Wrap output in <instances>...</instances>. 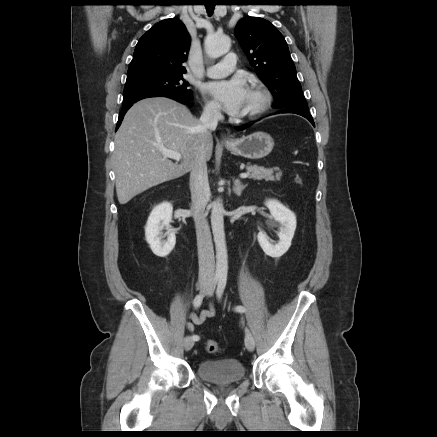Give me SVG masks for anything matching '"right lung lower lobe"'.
<instances>
[{"label":"right lung lower lobe","mask_w":437,"mask_h":437,"mask_svg":"<svg viewBox=\"0 0 437 437\" xmlns=\"http://www.w3.org/2000/svg\"><path fill=\"white\" fill-rule=\"evenodd\" d=\"M162 96L174 99V100H176L180 103H183V104L189 103L192 100V97H178V96H171V95H162ZM135 102H137V101H135ZM135 102H133V103H135ZM133 103L123 105V108L121 109L120 114H119V119H118L116 130L119 128L125 113L133 105Z\"/></svg>","instance_id":"right-lung-lower-lobe-1"}]
</instances>
